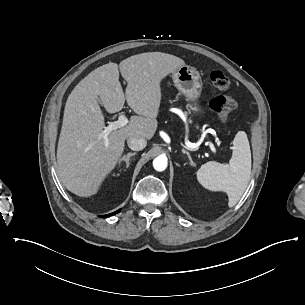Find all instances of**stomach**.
<instances>
[{"instance_id":"obj_1","label":"stomach","mask_w":305,"mask_h":305,"mask_svg":"<svg viewBox=\"0 0 305 305\" xmlns=\"http://www.w3.org/2000/svg\"><path fill=\"white\" fill-rule=\"evenodd\" d=\"M175 87L189 100L194 101L192 109L198 111L196 104L202 89V80L199 72L189 65H183L172 74Z\"/></svg>"}]
</instances>
